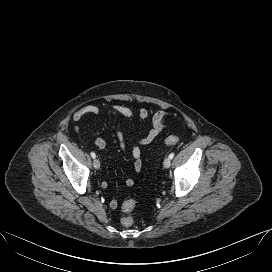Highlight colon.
I'll return each instance as SVG.
<instances>
[{"instance_id": "colon-1", "label": "colon", "mask_w": 272, "mask_h": 272, "mask_svg": "<svg viewBox=\"0 0 272 272\" xmlns=\"http://www.w3.org/2000/svg\"><path fill=\"white\" fill-rule=\"evenodd\" d=\"M179 142L177 136H169L164 140L167 146L176 145ZM136 207V201L134 199H128L122 204V212L124 213L121 218V224L124 227H131L134 223V219L130 216V212Z\"/></svg>"}]
</instances>
